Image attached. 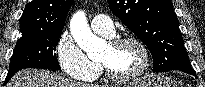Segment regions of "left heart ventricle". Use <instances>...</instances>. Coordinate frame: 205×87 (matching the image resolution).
<instances>
[{"label":"left heart ventricle","mask_w":205,"mask_h":87,"mask_svg":"<svg viewBox=\"0 0 205 87\" xmlns=\"http://www.w3.org/2000/svg\"><path fill=\"white\" fill-rule=\"evenodd\" d=\"M99 61L104 62L112 72L118 75H128L140 68L143 57L140 49L134 44L118 47H112L109 44Z\"/></svg>","instance_id":"b2bd125f"}]
</instances>
